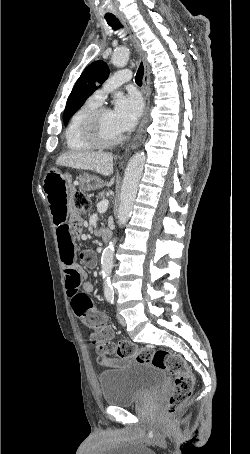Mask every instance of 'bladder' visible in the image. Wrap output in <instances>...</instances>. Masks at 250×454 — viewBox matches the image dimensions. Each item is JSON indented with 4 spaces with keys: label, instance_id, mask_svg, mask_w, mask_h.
Returning <instances> with one entry per match:
<instances>
[{
    "label": "bladder",
    "instance_id": "obj_1",
    "mask_svg": "<svg viewBox=\"0 0 250 454\" xmlns=\"http://www.w3.org/2000/svg\"><path fill=\"white\" fill-rule=\"evenodd\" d=\"M165 381L162 369L146 362L127 360L98 376L103 400L108 405L128 406L159 390Z\"/></svg>",
    "mask_w": 250,
    "mask_h": 454
}]
</instances>
